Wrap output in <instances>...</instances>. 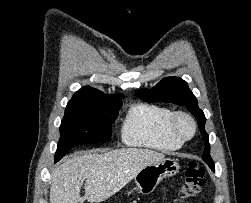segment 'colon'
I'll use <instances>...</instances> for the list:
<instances>
[{
  "mask_svg": "<svg viewBox=\"0 0 251 203\" xmlns=\"http://www.w3.org/2000/svg\"><path fill=\"white\" fill-rule=\"evenodd\" d=\"M205 185V170L196 162H190L185 170V180L180 187L178 199L176 202L192 199L196 197Z\"/></svg>",
  "mask_w": 251,
  "mask_h": 203,
  "instance_id": "1",
  "label": "colon"
}]
</instances>
